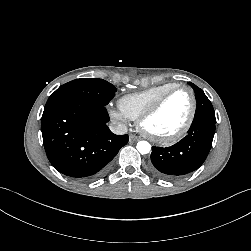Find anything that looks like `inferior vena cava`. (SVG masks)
I'll list each match as a JSON object with an SVG mask.
<instances>
[{
  "label": "inferior vena cava",
  "instance_id": "602c4592",
  "mask_svg": "<svg viewBox=\"0 0 251 251\" xmlns=\"http://www.w3.org/2000/svg\"><path fill=\"white\" fill-rule=\"evenodd\" d=\"M109 128L114 134L117 135H123L127 133V126L119 122H112Z\"/></svg>",
  "mask_w": 251,
  "mask_h": 251
}]
</instances>
